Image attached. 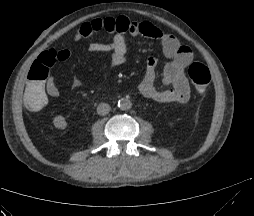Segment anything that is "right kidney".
I'll use <instances>...</instances> for the list:
<instances>
[{"mask_svg":"<svg viewBox=\"0 0 254 216\" xmlns=\"http://www.w3.org/2000/svg\"><path fill=\"white\" fill-rule=\"evenodd\" d=\"M53 125L57 129H65L66 126H67V122H66L65 118L62 115H57L53 119Z\"/></svg>","mask_w":254,"mask_h":216,"instance_id":"obj_1","label":"right kidney"}]
</instances>
